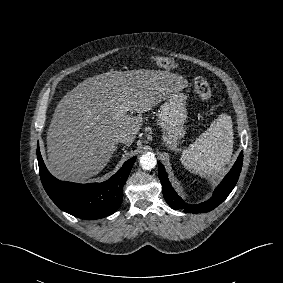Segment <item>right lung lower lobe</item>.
I'll return each mask as SVG.
<instances>
[{"label": "right lung lower lobe", "instance_id": "obj_1", "mask_svg": "<svg viewBox=\"0 0 283 283\" xmlns=\"http://www.w3.org/2000/svg\"><path fill=\"white\" fill-rule=\"evenodd\" d=\"M136 158L134 156L127 160L106 182L77 184L60 181L52 176L37 147L40 178L49 197L61 210L89 220L103 218L117 211L123 199V186Z\"/></svg>", "mask_w": 283, "mask_h": 283}]
</instances>
